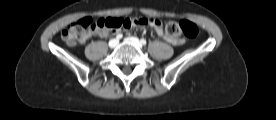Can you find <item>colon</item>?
Segmentation results:
<instances>
[{
    "label": "colon",
    "instance_id": "obj_1",
    "mask_svg": "<svg viewBox=\"0 0 276 120\" xmlns=\"http://www.w3.org/2000/svg\"><path fill=\"white\" fill-rule=\"evenodd\" d=\"M154 20L157 19L140 17H106L94 19L87 17L71 23L63 30L61 37L67 44L73 46L90 33L119 30L133 26H151ZM165 32L171 37L183 34L189 39H195L198 35V27L196 24L188 20H181L179 22L169 21L165 26Z\"/></svg>",
    "mask_w": 276,
    "mask_h": 120
}]
</instances>
